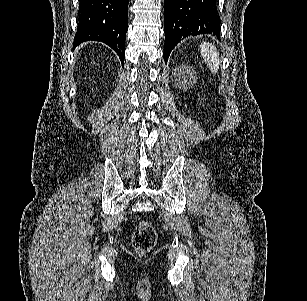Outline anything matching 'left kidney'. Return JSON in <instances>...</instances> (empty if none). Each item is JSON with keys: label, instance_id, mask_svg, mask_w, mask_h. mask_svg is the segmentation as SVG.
<instances>
[{"label": "left kidney", "instance_id": "obj_1", "mask_svg": "<svg viewBox=\"0 0 307 301\" xmlns=\"http://www.w3.org/2000/svg\"><path fill=\"white\" fill-rule=\"evenodd\" d=\"M174 74H177L178 80L181 84L185 82V84H193L195 82L196 74L194 68L192 66H189V64H182V66H178V68H175Z\"/></svg>", "mask_w": 307, "mask_h": 301}]
</instances>
